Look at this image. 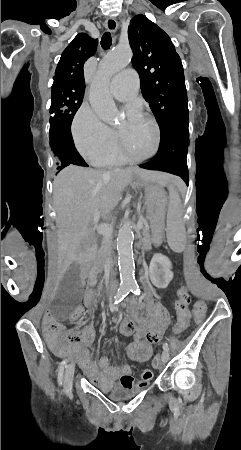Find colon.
Masks as SVG:
<instances>
[{"instance_id": "colon-1", "label": "colon", "mask_w": 241, "mask_h": 450, "mask_svg": "<svg viewBox=\"0 0 241 450\" xmlns=\"http://www.w3.org/2000/svg\"><path fill=\"white\" fill-rule=\"evenodd\" d=\"M175 302H178L177 306H176V312H177V314H179L180 319H179V321H175L173 323V328L175 330H180L183 326H189L190 321L192 319V314L190 312V309H189V306L187 303V302L190 303V299H189L188 294L182 290L179 292L178 299ZM203 302H201V300L199 298H196L194 300L195 305L193 306V315L198 320L201 319L202 317H204L205 313H206L205 309H204L205 305ZM84 312H85L84 309L81 307H78L75 310V314L78 317L83 316ZM160 354H155V357L153 359L154 362L152 365L155 368L158 367V365H159L158 362L160 360Z\"/></svg>"}]
</instances>
